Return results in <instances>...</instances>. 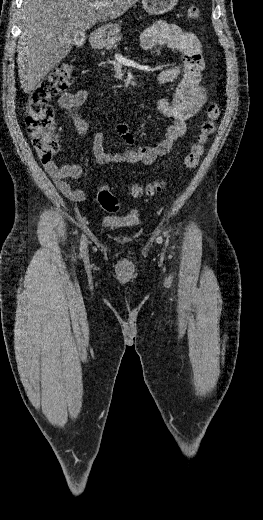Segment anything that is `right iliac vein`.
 <instances>
[{"label":"right iliac vein","instance_id":"obj_1","mask_svg":"<svg viewBox=\"0 0 263 520\" xmlns=\"http://www.w3.org/2000/svg\"><path fill=\"white\" fill-rule=\"evenodd\" d=\"M81 251L84 254L87 252V241L85 238H83V240L81 242Z\"/></svg>","mask_w":263,"mask_h":520}]
</instances>
